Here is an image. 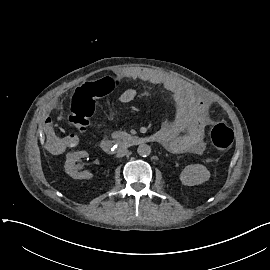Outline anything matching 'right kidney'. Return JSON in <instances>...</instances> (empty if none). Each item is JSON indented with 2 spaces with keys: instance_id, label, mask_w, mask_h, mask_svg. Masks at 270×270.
Listing matches in <instances>:
<instances>
[{
  "instance_id": "right-kidney-1",
  "label": "right kidney",
  "mask_w": 270,
  "mask_h": 270,
  "mask_svg": "<svg viewBox=\"0 0 270 270\" xmlns=\"http://www.w3.org/2000/svg\"><path fill=\"white\" fill-rule=\"evenodd\" d=\"M86 156H88L86 151L70 152L66 154L65 170L73 179L89 180L93 178V174L88 171L80 173L77 171V165L75 164V161Z\"/></svg>"
}]
</instances>
